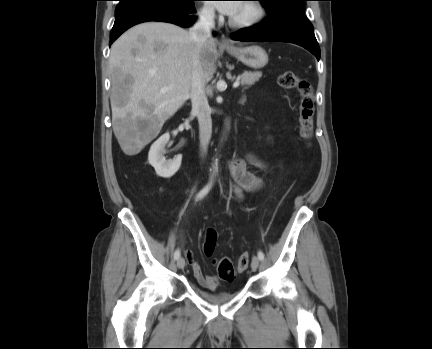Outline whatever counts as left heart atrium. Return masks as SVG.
Segmentation results:
<instances>
[{
	"label": "left heart atrium",
	"mask_w": 432,
	"mask_h": 349,
	"mask_svg": "<svg viewBox=\"0 0 432 349\" xmlns=\"http://www.w3.org/2000/svg\"><path fill=\"white\" fill-rule=\"evenodd\" d=\"M212 5L221 13L232 16L238 10L240 3L238 1H221Z\"/></svg>",
	"instance_id": "1"
}]
</instances>
